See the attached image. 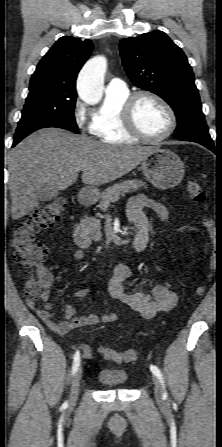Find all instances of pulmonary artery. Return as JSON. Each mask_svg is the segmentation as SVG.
Instances as JSON below:
<instances>
[{
	"label": "pulmonary artery",
	"instance_id": "obj_1",
	"mask_svg": "<svg viewBox=\"0 0 222 447\" xmlns=\"http://www.w3.org/2000/svg\"><path fill=\"white\" fill-rule=\"evenodd\" d=\"M125 90H127V86L120 78H112L106 86V92L110 93H120Z\"/></svg>",
	"mask_w": 222,
	"mask_h": 447
}]
</instances>
